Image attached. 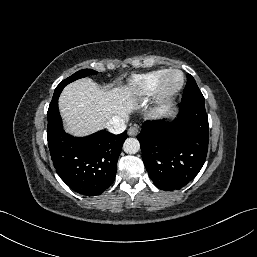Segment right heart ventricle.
Listing matches in <instances>:
<instances>
[{"label":"right heart ventricle","mask_w":257,"mask_h":257,"mask_svg":"<svg viewBox=\"0 0 257 257\" xmlns=\"http://www.w3.org/2000/svg\"><path fill=\"white\" fill-rule=\"evenodd\" d=\"M167 71V69H159L135 76L126 88L127 96L139 99L152 94L156 91L161 78Z\"/></svg>","instance_id":"right-heart-ventricle-1"}]
</instances>
